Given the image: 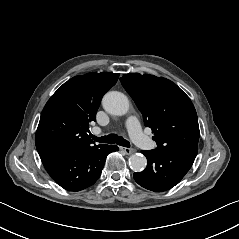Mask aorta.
I'll list each match as a JSON object with an SVG mask.
<instances>
[{
	"instance_id": "obj_1",
	"label": "aorta",
	"mask_w": 239,
	"mask_h": 239,
	"mask_svg": "<svg viewBox=\"0 0 239 239\" xmlns=\"http://www.w3.org/2000/svg\"><path fill=\"white\" fill-rule=\"evenodd\" d=\"M104 109L115 116H124L130 109L128 97L121 92H108L102 101ZM131 169L135 172L142 171L147 165V159L138 154H132L129 158Z\"/></svg>"
}]
</instances>
